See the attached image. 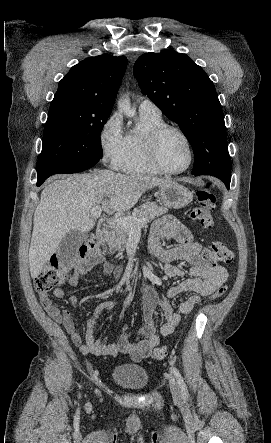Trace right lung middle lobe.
I'll return each mask as SVG.
<instances>
[{
    "label": "right lung middle lobe",
    "instance_id": "1",
    "mask_svg": "<svg viewBox=\"0 0 271 443\" xmlns=\"http://www.w3.org/2000/svg\"><path fill=\"white\" fill-rule=\"evenodd\" d=\"M109 115H91L70 103L50 105L37 170L62 163H97L100 132Z\"/></svg>",
    "mask_w": 271,
    "mask_h": 443
}]
</instances>
